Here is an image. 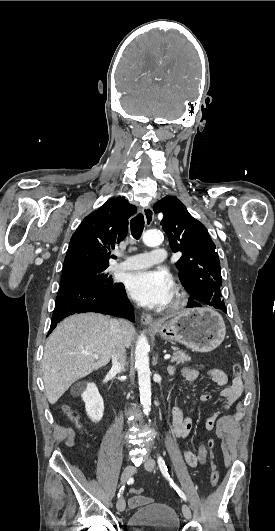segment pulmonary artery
<instances>
[{
    "instance_id": "1",
    "label": "pulmonary artery",
    "mask_w": 275,
    "mask_h": 531,
    "mask_svg": "<svg viewBox=\"0 0 275 531\" xmlns=\"http://www.w3.org/2000/svg\"><path fill=\"white\" fill-rule=\"evenodd\" d=\"M149 253L135 254L127 257L123 262L117 265L119 270H135L142 266L162 265L164 258H166V251L162 250L159 246L152 248L151 256L148 258Z\"/></svg>"
}]
</instances>
